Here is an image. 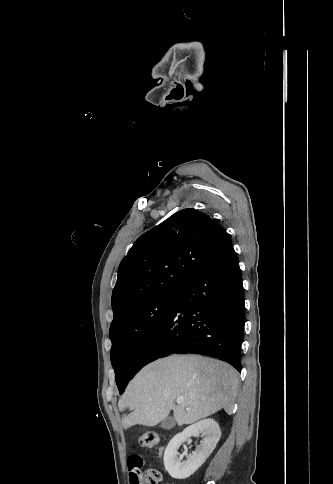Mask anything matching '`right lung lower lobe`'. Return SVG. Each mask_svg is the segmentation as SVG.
Instances as JSON below:
<instances>
[{"label":"right lung lower lobe","mask_w":333,"mask_h":484,"mask_svg":"<svg viewBox=\"0 0 333 484\" xmlns=\"http://www.w3.org/2000/svg\"><path fill=\"white\" fill-rule=\"evenodd\" d=\"M244 296L233 246L186 283L174 305L141 347L130 379L149 362L169 354H202L241 371Z\"/></svg>","instance_id":"98d812e1"}]
</instances>
